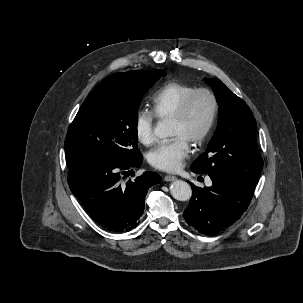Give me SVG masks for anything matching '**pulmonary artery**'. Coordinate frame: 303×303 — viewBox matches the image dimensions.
Returning <instances> with one entry per match:
<instances>
[{
    "label": "pulmonary artery",
    "mask_w": 303,
    "mask_h": 303,
    "mask_svg": "<svg viewBox=\"0 0 303 303\" xmlns=\"http://www.w3.org/2000/svg\"><path fill=\"white\" fill-rule=\"evenodd\" d=\"M207 184H209V185H210V184H211V181H210V180H207Z\"/></svg>",
    "instance_id": "pulmonary-artery-1"
}]
</instances>
